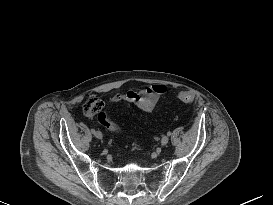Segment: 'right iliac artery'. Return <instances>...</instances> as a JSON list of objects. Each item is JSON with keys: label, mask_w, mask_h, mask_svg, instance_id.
Here are the masks:
<instances>
[{"label": "right iliac artery", "mask_w": 273, "mask_h": 205, "mask_svg": "<svg viewBox=\"0 0 273 205\" xmlns=\"http://www.w3.org/2000/svg\"><path fill=\"white\" fill-rule=\"evenodd\" d=\"M91 132L94 134V133H95V130H94V129H91Z\"/></svg>", "instance_id": "1"}]
</instances>
